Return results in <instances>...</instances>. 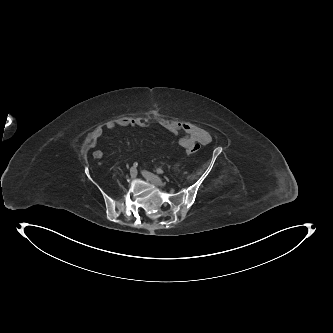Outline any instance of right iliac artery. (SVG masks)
I'll list each match as a JSON object with an SVG mask.
<instances>
[{"label": "right iliac artery", "mask_w": 333, "mask_h": 333, "mask_svg": "<svg viewBox=\"0 0 333 333\" xmlns=\"http://www.w3.org/2000/svg\"><path fill=\"white\" fill-rule=\"evenodd\" d=\"M137 166H138V163L135 162V163L133 164V167L136 169Z\"/></svg>", "instance_id": "right-iliac-artery-1"}]
</instances>
